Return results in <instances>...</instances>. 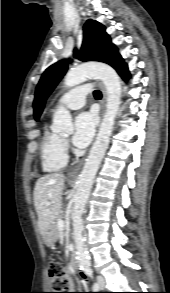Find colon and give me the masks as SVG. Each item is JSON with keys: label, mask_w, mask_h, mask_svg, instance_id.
<instances>
[{"label": "colon", "mask_w": 170, "mask_h": 293, "mask_svg": "<svg viewBox=\"0 0 170 293\" xmlns=\"http://www.w3.org/2000/svg\"><path fill=\"white\" fill-rule=\"evenodd\" d=\"M48 275L54 291L52 293H63L60 291L66 289L70 284L67 269L59 262H50L48 266Z\"/></svg>", "instance_id": "1"}]
</instances>
